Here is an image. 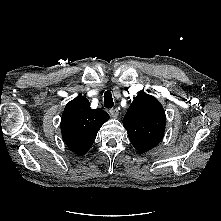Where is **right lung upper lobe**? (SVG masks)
I'll use <instances>...</instances> for the list:
<instances>
[{
	"instance_id": "1",
	"label": "right lung upper lobe",
	"mask_w": 221,
	"mask_h": 221,
	"mask_svg": "<svg viewBox=\"0 0 221 221\" xmlns=\"http://www.w3.org/2000/svg\"><path fill=\"white\" fill-rule=\"evenodd\" d=\"M109 119L102 109L92 110L84 96L70 101L62 114L61 132L65 144L77 155H84L93 144L98 130Z\"/></svg>"
}]
</instances>
